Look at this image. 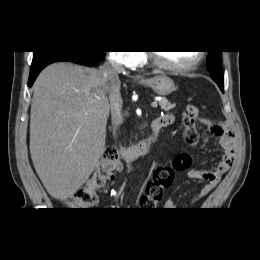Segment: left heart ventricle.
<instances>
[{"label": "left heart ventricle", "instance_id": "1", "mask_svg": "<svg viewBox=\"0 0 260 260\" xmlns=\"http://www.w3.org/2000/svg\"><path fill=\"white\" fill-rule=\"evenodd\" d=\"M166 63L172 65H186L193 62L198 53L196 51H163L157 53Z\"/></svg>", "mask_w": 260, "mask_h": 260}]
</instances>
